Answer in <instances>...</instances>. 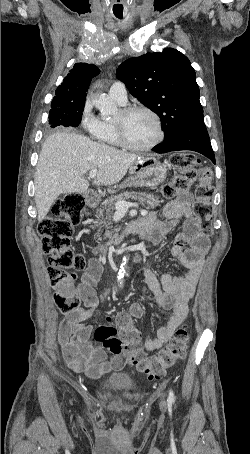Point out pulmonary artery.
I'll use <instances>...</instances> for the list:
<instances>
[{"label":"pulmonary artery","mask_w":250,"mask_h":454,"mask_svg":"<svg viewBox=\"0 0 250 454\" xmlns=\"http://www.w3.org/2000/svg\"><path fill=\"white\" fill-rule=\"evenodd\" d=\"M108 93L109 96L119 104L123 105L127 102V90L125 88V85L120 81L114 82L111 85Z\"/></svg>","instance_id":"obj_1"}]
</instances>
